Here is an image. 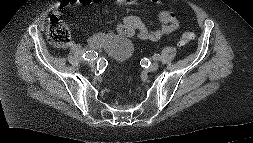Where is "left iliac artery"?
<instances>
[{"label":"left iliac artery","mask_w":253,"mask_h":143,"mask_svg":"<svg viewBox=\"0 0 253 143\" xmlns=\"http://www.w3.org/2000/svg\"><path fill=\"white\" fill-rule=\"evenodd\" d=\"M153 59H154V60H159V59H160V55H159V54H155V55L153 56Z\"/></svg>","instance_id":"44dca946"}]
</instances>
